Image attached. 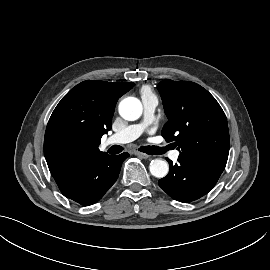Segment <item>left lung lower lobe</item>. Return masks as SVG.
I'll return each mask as SVG.
<instances>
[{"label": "left lung lower lobe", "mask_w": 270, "mask_h": 270, "mask_svg": "<svg viewBox=\"0 0 270 270\" xmlns=\"http://www.w3.org/2000/svg\"><path fill=\"white\" fill-rule=\"evenodd\" d=\"M170 165L169 174L160 179L159 186L173 199L188 203L207 194L217 183L225 167L183 156Z\"/></svg>", "instance_id": "obj_1"}]
</instances>
